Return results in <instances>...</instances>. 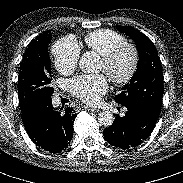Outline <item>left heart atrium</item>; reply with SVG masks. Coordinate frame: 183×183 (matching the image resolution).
<instances>
[{
    "instance_id": "left-heart-atrium-1",
    "label": "left heart atrium",
    "mask_w": 183,
    "mask_h": 183,
    "mask_svg": "<svg viewBox=\"0 0 183 183\" xmlns=\"http://www.w3.org/2000/svg\"><path fill=\"white\" fill-rule=\"evenodd\" d=\"M71 92L82 101L95 104L108 90V80L103 74L81 75L70 82Z\"/></svg>"
}]
</instances>
